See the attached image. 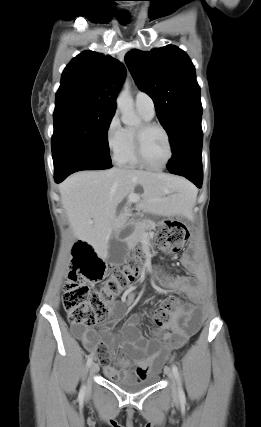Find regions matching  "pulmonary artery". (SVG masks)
Returning <instances> with one entry per match:
<instances>
[{
    "instance_id": "e3ab8cb5",
    "label": "pulmonary artery",
    "mask_w": 261,
    "mask_h": 427,
    "mask_svg": "<svg viewBox=\"0 0 261 427\" xmlns=\"http://www.w3.org/2000/svg\"><path fill=\"white\" fill-rule=\"evenodd\" d=\"M135 106L147 118H152L155 114L153 99L145 92L139 91L135 96Z\"/></svg>"
}]
</instances>
